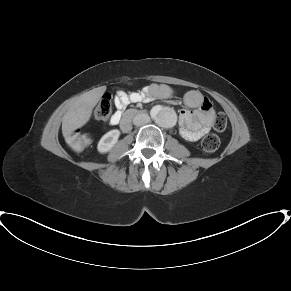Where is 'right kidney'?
<instances>
[{
  "label": "right kidney",
  "mask_w": 291,
  "mask_h": 291,
  "mask_svg": "<svg viewBox=\"0 0 291 291\" xmlns=\"http://www.w3.org/2000/svg\"><path fill=\"white\" fill-rule=\"evenodd\" d=\"M120 131L117 129L107 132L98 142L97 149L100 153H107L117 143Z\"/></svg>",
  "instance_id": "obj_1"
}]
</instances>
